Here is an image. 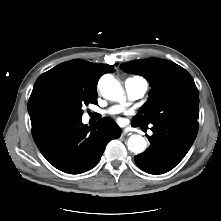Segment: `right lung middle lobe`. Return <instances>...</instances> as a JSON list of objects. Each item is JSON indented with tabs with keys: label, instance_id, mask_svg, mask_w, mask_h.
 I'll return each mask as SVG.
<instances>
[{
	"label": "right lung middle lobe",
	"instance_id": "1",
	"mask_svg": "<svg viewBox=\"0 0 221 221\" xmlns=\"http://www.w3.org/2000/svg\"><path fill=\"white\" fill-rule=\"evenodd\" d=\"M89 103H97V94L75 92L61 97L54 110L55 117H79L81 118L82 106Z\"/></svg>",
	"mask_w": 221,
	"mask_h": 221
}]
</instances>
